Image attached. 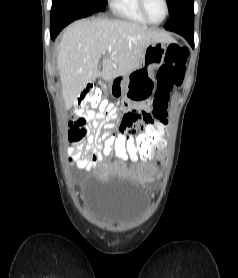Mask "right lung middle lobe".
I'll list each match as a JSON object with an SVG mask.
<instances>
[{
    "mask_svg": "<svg viewBox=\"0 0 238 278\" xmlns=\"http://www.w3.org/2000/svg\"><path fill=\"white\" fill-rule=\"evenodd\" d=\"M79 3H82L92 10L99 12L104 11L106 6V0H75Z\"/></svg>",
    "mask_w": 238,
    "mask_h": 278,
    "instance_id": "obj_1",
    "label": "right lung middle lobe"
}]
</instances>
